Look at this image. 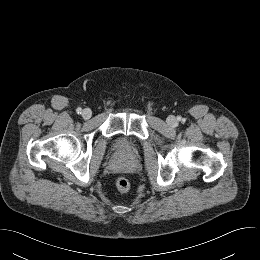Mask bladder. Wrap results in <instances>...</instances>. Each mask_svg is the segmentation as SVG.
Segmentation results:
<instances>
[{
    "label": "bladder",
    "instance_id": "31cf9c89",
    "mask_svg": "<svg viewBox=\"0 0 260 260\" xmlns=\"http://www.w3.org/2000/svg\"><path fill=\"white\" fill-rule=\"evenodd\" d=\"M118 149L123 150L127 148V145L124 141H121L117 144Z\"/></svg>",
    "mask_w": 260,
    "mask_h": 260
}]
</instances>
